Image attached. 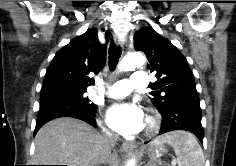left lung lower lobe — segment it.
<instances>
[{
  "mask_svg": "<svg viewBox=\"0 0 236 166\" xmlns=\"http://www.w3.org/2000/svg\"><path fill=\"white\" fill-rule=\"evenodd\" d=\"M160 113L163 117L160 134L186 130L195 134L203 144L204 130L201 125L199 98H191L182 107L170 108Z\"/></svg>",
  "mask_w": 236,
  "mask_h": 166,
  "instance_id": "0a47b994",
  "label": "left lung lower lobe"
}]
</instances>
